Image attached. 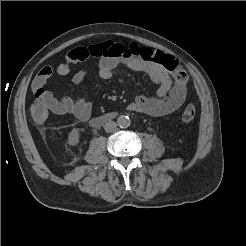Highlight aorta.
Here are the masks:
<instances>
[{
  "instance_id": "762f6f07",
  "label": "aorta",
  "mask_w": 246,
  "mask_h": 246,
  "mask_svg": "<svg viewBox=\"0 0 246 246\" xmlns=\"http://www.w3.org/2000/svg\"><path fill=\"white\" fill-rule=\"evenodd\" d=\"M130 123L131 122H130V119H129L128 116L122 115V116L118 117V119H117V124L121 128H127V127H129L130 126Z\"/></svg>"
}]
</instances>
